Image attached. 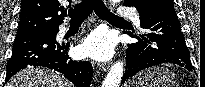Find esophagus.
I'll return each mask as SVG.
<instances>
[{"label":"esophagus","instance_id":"obj_1","mask_svg":"<svg viewBox=\"0 0 205 87\" xmlns=\"http://www.w3.org/2000/svg\"><path fill=\"white\" fill-rule=\"evenodd\" d=\"M98 67L101 71H106L110 67V62L101 63V64L98 65Z\"/></svg>","mask_w":205,"mask_h":87}]
</instances>
